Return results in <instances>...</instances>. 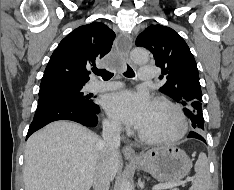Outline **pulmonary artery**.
Listing matches in <instances>:
<instances>
[{
	"instance_id": "obj_1",
	"label": "pulmonary artery",
	"mask_w": 234,
	"mask_h": 190,
	"mask_svg": "<svg viewBox=\"0 0 234 190\" xmlns=\"http://www.w3.org/2000/svg\"><path fill=\"white\" fill-rule=\"evenodd\" d=\"M154 77L153 66H143L139 69V80L149 81ZM121 85L118 82H96L91 84L93 91H108L119 88Z\"/></svg>"
}]
</instances>
